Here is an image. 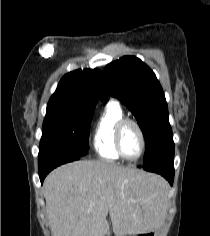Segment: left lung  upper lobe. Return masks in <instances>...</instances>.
I'll list each match as a JSON object with an SVG mask.
<instances>
[{
  "label": "left lung upper lobe",
  "instance_id": "5c2ea615",
  "mask_svg": "<svg viewBox=\"0 0 210 236\" xmlns=\"http://www.w3.org/2000/svg\"><path fill=\"white\" fill-rule=\"evenodd\" d=\"M107 95L121 100L137 119L146 141L144 161L173 142L163 89L140 59L125 56L104 68L100 98Z\"/></svg>",
  "mask_w": 210,
  "mask_h": 236
}]
</instances>
